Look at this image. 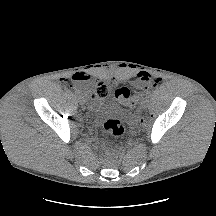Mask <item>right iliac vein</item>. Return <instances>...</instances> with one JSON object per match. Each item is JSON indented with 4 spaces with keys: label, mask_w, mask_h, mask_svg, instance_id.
Instances as JSON below:
<instances>
[{
    "label": "right iliac vein",
    "mask_w": 216,
    "mask_h": 216,
    "mask_svg": "<svg viewBox=\"0 0 216 216\" xmlns=\"http://www.w3.org/2000/svg\"><path fill=\"white\" fill-rule=\"evenodd\" d=\"M79 102H80L81 104H84L85 100H84V98H83L82 96L79 97Z\"/></svg>",
    "instance_id": "obj_1"
}]
</instances>
